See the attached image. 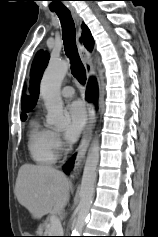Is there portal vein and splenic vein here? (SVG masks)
I'll list each match as a JSON object with an SVG mask.
<instances>
[{
	"label": "portal vein and splenic vein",
	"instance_id": "portal-vein-and-splenic-vein-1",
	"mask_svg": "<svg viewBox=\"0 0 158 237\" xmlns=\"http://www.w3.org/2000/svg\"><path fill=\"white\" fill-rule=\"evenodd\" d=\"M50 221H51L52 227L58 228L60 231H62L61 222L56 216H52Z\"/></svg>",
	"mask_w": 158,
	"mask_h": 237
}]
</instances>
